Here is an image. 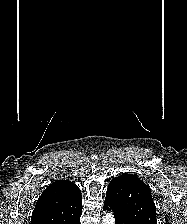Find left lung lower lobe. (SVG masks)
I'll return each instance as SVG.
<instances>
[{
  "mask_svg": "<svg viewBox=\"0 0 187 224\" xmlns=\"http://www.w3.org/2000/svg\"><path fill=\"white\" fill-rule=\"evenodd\" d=\"M103 209L112 211L114 213L115 224H131L130 222L124 219V217L118 212V210L114 206L113 202H111L108 198H105Z\"/></svg>",
  "mask_w": 187,
  "mask_h": 224,
  "instance_id": "left-lung-lower-lobe-1",
  "label": "left lung lower lobe"
}]
</instances>
